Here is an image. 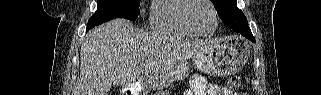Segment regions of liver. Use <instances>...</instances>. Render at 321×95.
<instances>
[{"label": "liver", "instance_id": "1", "mask_svg": "<svg viewBox=\"0 0 321 95\" xmlns=\"http://www.w3.org/2000/svg\"><path fill=\"white\" fill-rule=\"evenodd\" d=\"M207 42L139 33L128 20L114 19L91 30L83 41L74 95H108L112 85L153 80L191 58Z\"/></svg>", "mask_w": 321, "mask_h": 95}]
</instances>
